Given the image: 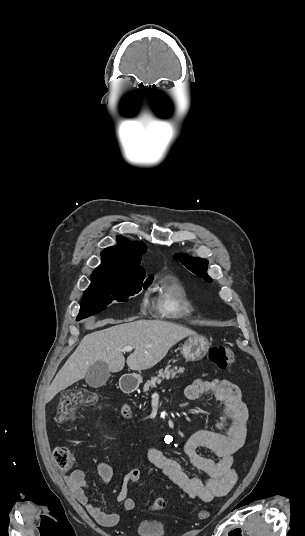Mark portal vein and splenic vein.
<instances>
[{
	"mask_svg": "<svg viewBox=\"0 0 305 536\" xmlns=\"http://www.w3.org/2000/svg\"><path fill=\"white\" fill-rule=\"evenodd\" d=\"M132 350V346H124L123 350H120V352H132Z\"/></svg>",
	"mask_w": 305,
	"mask_h": 536,
	"instance_id": "1",
	"label": "portal vein and splenic vein"
}]
</instances>
